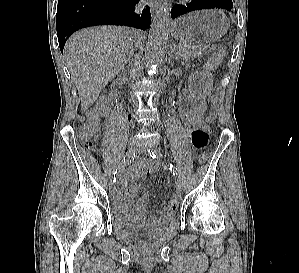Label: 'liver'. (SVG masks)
I'll list each match as a JSON object with an SVG mask.
<instances>
[{"instance_id": "liver-1", "label": "liver", "mask_w": 299, "mask_h": 273, "mask_svg": "<svg viewBox=\"0 0 299 273\" xmlns=\"http://www.w3.org/2000/svg\"><path fill=\"white\" fill-rule=\"evenodd\" d=\"M141 40L139 31L114 26L85 29L68 39L64 54L84 111L124 68L130 44Z\"/></svg>"}]
</instances>
